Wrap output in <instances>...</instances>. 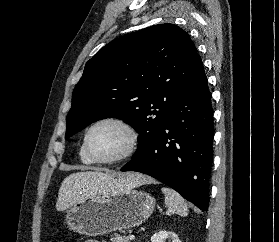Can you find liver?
<instances>
[{
    "instance_id": "liver-1",
    "label": "liver",
    "mask_w": 279,
    "mask_h": 242,
    "mask_svg": "<svg viewBox=\"0 0 279 242\" xmlns=\"http://www.w3.org/2000/svg\"><path fill=\"white\" fill-rule=\"evenodd\" d=\"M152 182L151 178L140 174L115 179L113 175L99 171L72 173L61 183L56 209L63 211L91 195L103 194L117 189H131Z\"/></svg>"
}]
</instances>
